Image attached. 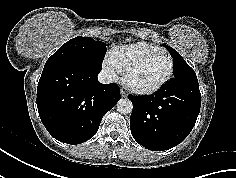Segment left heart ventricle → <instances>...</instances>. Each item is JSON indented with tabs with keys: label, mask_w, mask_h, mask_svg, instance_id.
<instances>
[{
	"label": "left heart ventricle",
	"mask_w": 236,
	"mask_h": 178,
	"mask_svg": "<svg viewBox=\"0 0 236 178\" xmlns=\"http://www.w3.org/2000/svg\"><path fill=\"white\" fill-rule=\"evenodd\" d=\"M170 60L166 55H157L145 61L131 75V81L142 87L157 84L167 74Z\"/></svg>",
	"instance_id": "left-heart-ventricle-1"
}]
</instances>
